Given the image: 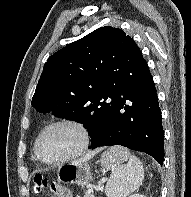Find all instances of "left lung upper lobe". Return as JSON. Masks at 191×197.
I'll list each match as a JSON object with an SVG mask.
<instances>
[{
    "label": "left lung upper lobe",
    "instance_id": "obj_1",
    "mask_svg": "<svg viewBox=\"0 0 191 197\" xmlns=\"http://www.w3.org/2000/svg\"><path fill=\"white\" fill-rule=\"evenodd\" d=\"M144 68L148 65L130 36L119 28L101 27L48 58L31 104L87 128L121 76Z\"/></svg>",
    "mask_w": 191,
    "mask_h": 197
}]
</instances>
